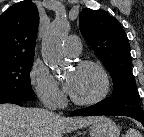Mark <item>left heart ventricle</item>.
Masks as SVG:
<instances>
[{
  "mask_svg": "<svg viewBox=\"0 0 144 137\" xmlns=\"http://www.w3.org/2000/svg\"><path fill=\"white\" fill-rule=\"evenodd\" d=\"M65 77L72 81L71 95L78 100L92 99L102 90V77L93 68H72L66 73Z\"/></svg>",
  "mask_w": 144,
  "mask_h": 137,
  "instance_id": "left-heart-ventricle-1",
  "label": "left heart ventricle"
}]
</instances>
